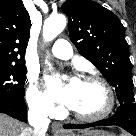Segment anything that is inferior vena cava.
<instances>
[{
    "label": "inferior vena cava",
    "instance_id": "602c4592",
    "mask_svg": "<svg viewBox=\"0 0 136 136\" xmlns=\"http://www.w3.org/2000/svg\"><path fill=\"white\" fill-rule=\"evenodd\" d=\"M49 109L39 105L29 107L28 121L34 128L33 136H45L50 120L48 119Z\"/></svg>",
    "mask_w": 136,
    "mask_h": 136
}]
</instances>
